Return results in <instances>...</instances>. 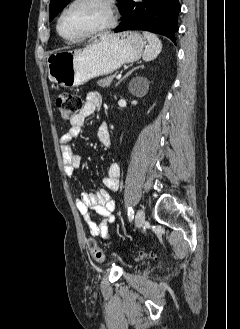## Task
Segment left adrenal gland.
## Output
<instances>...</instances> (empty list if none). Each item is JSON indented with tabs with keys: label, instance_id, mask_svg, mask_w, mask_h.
<instances>
[{
	"label": "left adrenal gland",
	"instance_id": "left-adrenal-gland-1",
	"mask_svg": "<svg viewBox=\"0 0 240 329\" xmlns=\"http://www.w3.org/2000/svg\"><path fill=\"white\" fill-rule=\"evenodd\" d=\"M144 66H138V67H135L134 69H132L131 71H129L124 78H126L127 76H129L133 71H135L136 69H139V68H143Z\"/></svg>",
	"mask_w": 240,
	"mask_h": 329
}]
</instances>
